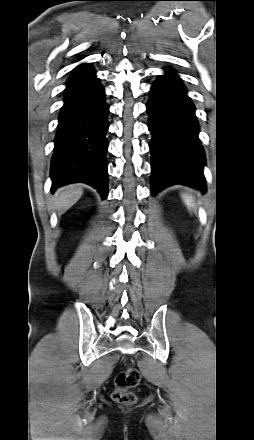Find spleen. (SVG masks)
I'll return each mask as SVG.
<instances>
[{
  "label": "spleen",
  "instance_id": "3e777b00",
  "mask_svg": "<svg viewBox=\"0 0 254 440\" xmlns=\"http://www.w3.org/2000/svg\"><path fill=\"white\" fill-rule=\"evenodd\" d=\"M182 199L189 210H193L196 207L195 200L190 194H182Z\"/></svg>",
  "mask_w": 254,
  "mask_h": 440
}]
</instances>
